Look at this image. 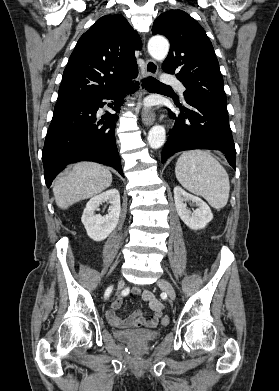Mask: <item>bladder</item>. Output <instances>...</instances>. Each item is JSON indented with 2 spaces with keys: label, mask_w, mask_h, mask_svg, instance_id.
Listing matches in <instances>:
<instances>
[{
  "label": "bladder",
  "mask_w": 279,
  "mask_h": 391,
  "mask_svg": "<svg viewBox=\"0 0 279 391\" xmlns=\"http://www.w3.org/2000/svg\"><path fill=\"white\" fill-rule=\"evenodd\" d=\"M117 339L129 345H146L154 342L160 336L159 331L151 330H124L115 333Z\"/></svg>",
  "instance_id": "31cf9c89"
}]
</instances>
